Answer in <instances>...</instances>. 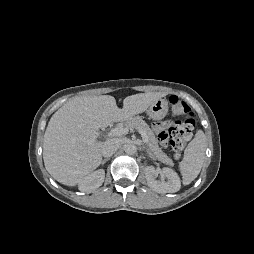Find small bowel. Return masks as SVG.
<instances>
[{
  "mask_svg": "<svg viewBox=\"0 0 254 254\" xmlns=\"http://www.w3.org/2000/svg\"><path fill=\"white\" fill-rule=\"evenodd\" d=\"M165 126H167V125H165ZM157 129H160V126H158Z\"/></svg>",
  "mask_w": 254,
  "mask_h": 254,
  "instance_id": "small-bowel-1",
  "label": "small bowel"
}]
</instances>
